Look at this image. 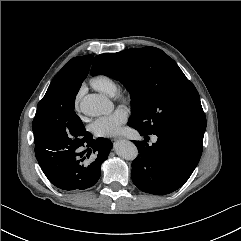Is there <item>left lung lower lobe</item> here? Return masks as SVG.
<instances>
[{"label": "left lung lower lobe", "instance_id": "1", "mask_svg": "<svg viewBox=\"0 0 241 241\" xmlns=\"http://www.w3.org/2000/svg\"><path fill=\"white\" fill-rule=\"evenodd\" d=\"M128 125L141 136L148 135ZM157 142L151 146L135 141L138 157L132 162L133 183L143 192L155 195L169 194L179 189L196 168L203 150V133L176 127H166L154 133Z\"/></svg>", "mask_w": 241, "mask_h": 241}]
</instances>
